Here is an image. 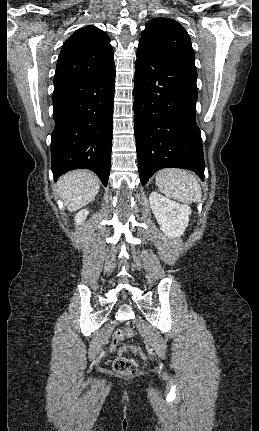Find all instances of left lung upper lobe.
Here are the masks:
<instances>
[{
  "instance_id": "1",
  "label": "left lung upper lobe",
  "mask_w": 259,
  "mask_h": 431,
  "mask_svg": "<svg viewBox=\"0 0 259 431\" xmlns=\"http://www.w3.org/2000/svg\"><path fill=\"white\" fill-rule=\"evenodd\" d=\"M139 44L196 70L190 37L182 25L173 19L154 18L150 20L142 32Z\"/></svg>"
}]
</instances>
